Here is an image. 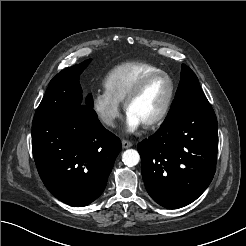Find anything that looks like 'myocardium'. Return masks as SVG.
<instances>
[{
  "label": "myocardium",
  "instance_id": "myocardium-1",
  "mask_svg": "<svg viewBox=\"0 0 246 246\" xmlns=\"http://www.w3.org/2000/svg\"><path fill=\"white\" fill-rule=\"evenodd\" d=\"M160 76H164L165 78H167L170 84V91L166 103L163 109L161 110V112L154 119L143 124V126L148 129L160 125L170 112L176 92V86L173 78L163 70L149 73L138 81V83L133 87V89L130 91V93L127 95V97L124 100V109L128 113L130 105L138 98V96L142 93V91L146 88V86L152 80Z\"/></svg>",
  "mask_w": 246,
  "mask_h": 246
}]
</instances>
